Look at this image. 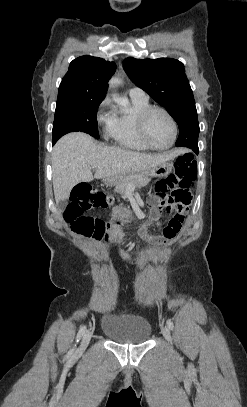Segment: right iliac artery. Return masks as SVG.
Listing matches in <instances>:
<instances>
[{
	"label": "right iliac artery",
	"instance_id": "1",
	"mask_svg": "<svg viewBox=\"0 0 247 407\" xmlns=\"http://www.w3.org/2000/svg\"><path fill=\"white\" fill-rule=\"evenodd\" d=\"M86 331V326H82L77 334V342L79 341V339L84 335ZM74 352V349L70 350V354H72Z\"/></svg>",
	"mask_w": 247,
	"mask_h": 407
}]
</instances>
